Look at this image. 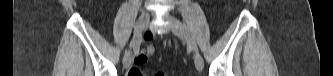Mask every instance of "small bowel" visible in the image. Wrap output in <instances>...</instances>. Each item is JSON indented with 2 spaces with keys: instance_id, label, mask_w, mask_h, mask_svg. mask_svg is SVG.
Instances as JSON below:
<instances>
[{
  "instance_id": "1",
  "label": "small bowel",
  "mask_w": 333,
  "mask_h": 76,
  "mask_svg": "<svg viewBox=\"0 0 333 76\" xmlns=\"http://www.w3.org/2000/svg\"><path fill=\"white\" fill-rule=\"evenodd\" d=\"M144 41L145 42H152L153 41V36L152 35H145L144 36ZM153 51H154V49H153V47L151 45L147 46L144 53H142V54H140V55H138V56L135 57L136 64L143 63L145 61V59H146V56L149 55V54H152ZM135 69H137L138 71L141 72V70L139 68L135 67Z\"/></svg>"
}]
</instances>
